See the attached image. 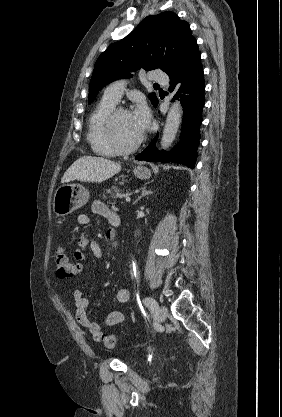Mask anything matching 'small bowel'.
<instances>
[{"label": "small bowel", "instance_id": "c3829d8e", "mask_svg": "<svg viewBox=\"0 0 282 417\" xmlns=\"http://www.w3.org/2000/svg\"><path fill=\"white\" fill-rule=\"evenodd\" d=\"M92 211L94 214L104 217L107 221V236L114 238L116 231L121 224L119 215L111 210L102 201L96 200L92 203ZM77 223L84 227H90L92 225L91 218L88 214L81 213L77 216ZM90 251L92 256L101 260L104 257V249L100 243L90 238L87 234H82L78 239V246L73 251V257L76 260L74 263L75 272L80 273L84 269V262L86 260V251ZM73 298L76 306L75 318L77 322L87 330L95 341L104 340L105 334L101 330L98 323L93 321L87 314L89 301L85 297L84 293L80 289H76L73 292ZM130 299V291L126 287H120L116 291V300L118 303H127ZM125 319V314L121 311H111L107 314L105 324L109 327H113L121 324Z\"/></svg>", "mask_w": 282, "mask_h": 417}]
</instances>
